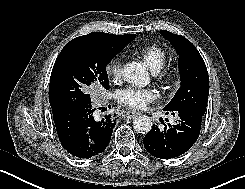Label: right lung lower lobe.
Masks as SVG:
<instances>
[{
	"mask_svg": "<svg viewBox=\"0 0 245 189\" xmlns=\"http://www.w3.org/2000/svg\"><path fill=\"white\" fill-rule=\"evenodd\" d=\"M91 102L52 109L56 131L62 146L73 156L90 158L108 146L116 114L95 120Z\"/></svg>",
	"mask_w": 245,
	"mask_h": 189,
	"instance_id": "1",
	"label": "right lung lower lobe"
}]
</instances>
